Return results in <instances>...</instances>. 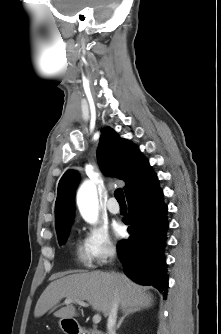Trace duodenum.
<instances>
[{
    "label": "duodenum",
    "mask_w": 221,
    "mask_h": 334,
    "mask_svg": "<svg viewBox=\"0 0 221 334\" xmlns=\"http://www.w3.org/2000/svg\"><path fill=\"white\" fill-rule=\"evenodd\" d=\"M70 334H104L102 331L91 328H75L68 331Z\"/></svg>",
    "instance_id": "1"
}]
</instances>
